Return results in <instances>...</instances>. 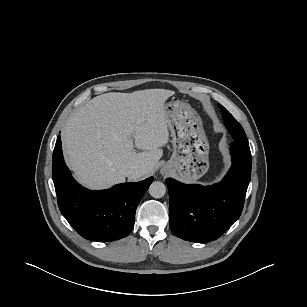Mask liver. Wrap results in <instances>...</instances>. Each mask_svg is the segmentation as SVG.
<instances>
[{
	"label": "liver",
	"mask_w": 307,
	"mask_h": 307,
	"mask_svg": "<svg viewBox=\"0 0 307 307\" xmlns=\"http://www.w3.org/2000/svg\"><path fill=\"white\" fill-rule=\"evenodd\" d=\"M172 95L166 89L111 92L77 110L62 132L65 158L77 180L105 189L125 182L129 168L141 170L132 181L150 176L169 140L164 107Z\"/></svg>",
	"instance_id": "1"
}]
</instances>
